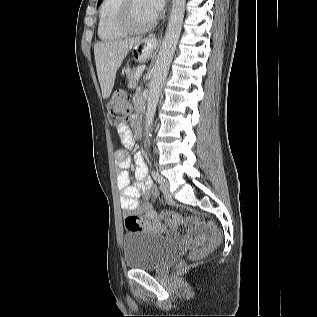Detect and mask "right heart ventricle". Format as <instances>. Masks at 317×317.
Listing matches in <instances>:
<instances>
[{
  "label": "right heart ventricle",
  "instance_id": "e07e8e85",
  "mask_svg": "<svg viewBox=\"0 0 317 317\" xmlns=\"http://www.w3.org/2000/svg\"><path fill=\"white\" fill-rule=\"evenodd\" d=\"M121 0H103L99 9L98 36L102 41H116L127 35L116 23Z\"/></svg>",
  "mask_w": 317,
  "mask_h": 317
}]
</instances>
